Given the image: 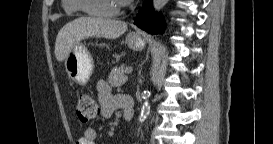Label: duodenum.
Here are the masks:
<instances>
[{"instance_id":"duodenum-1","label":"duodenum","mask_w":273,"mask_h":144,"mask_svg":"<svg viewBox=\"0 0 273 144\" xmlns=\"http://www.w3.org/2000/svg\"><path fill=\"white\" fill-rule=\"evenodd\" d=\"M121 106L124 112V119L130 121L134 117V101L131 97L126 95H120Z\"/></svg>"}]
</instances>
